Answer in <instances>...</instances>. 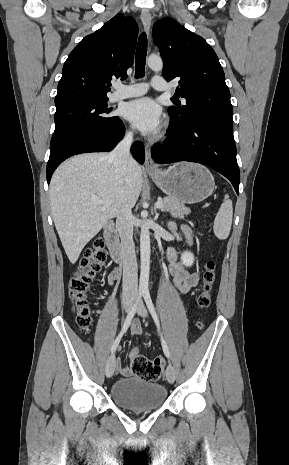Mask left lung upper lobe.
<instances>
[{
  "instance_id": "1",
  "label": "left lung upper lobe",
  "mask_w": 289,
  "mask_h": 465,
  "mask_svg": "<svg viewBox=\"0 0 289 465\" xmlns=\"http://www.w3.org/2000/svg\"><path fill=\"white\" fill-rule=\"evenodd\" d=\"M153 38L164 62L165 79H179L176 92L186 99V105L168 108L172 120L187 123L200 119L232 125L230 92L211 46L169 17L154 24Z\"/></svg>"
}]
</instances>
